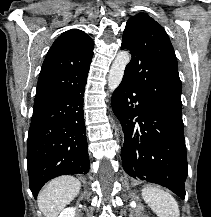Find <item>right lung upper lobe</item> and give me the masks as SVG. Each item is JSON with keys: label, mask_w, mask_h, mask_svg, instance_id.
Masks as SVG:
<instances>
[{"label": "right lung upper lobe", "mask_w": 211, "mask_h": 217, "mask_svg": "<svg viewBox=\"0 0 211 217\" xmlns=\"http://www.w3.org/2000/svg\"><path fill=\"white\" fill-rule=\"evenodd\" d=\"M94 42L83 31L62 33L49 49L38 79L34 107L51 102L86 80Z\"/></svg>", "instance_id": "right-lung-upper-lobe-1"}]
</instances>
